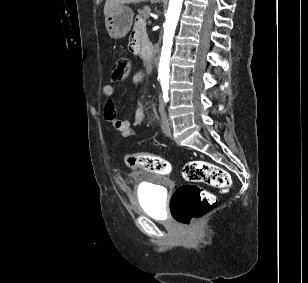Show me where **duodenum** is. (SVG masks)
Returning <instances> with one entry per match:
<instances>
[{"label":"duodenum","mask_w":308,"mask_h":283,"mask_svg":"<svg viewBox=\"0 0 308 283\" xmlns=\"http://www.w3.org/2000/svg\"><path fill=\"white\" fill-rule=\"evenodd\" d=\"M142 50H143L142 52L143 60L145 62H150L155 53V50L153 49L152 40L150 38H145L143 40Z\"/></svg>","instance_id":"410a0bca"}]
</instances>
